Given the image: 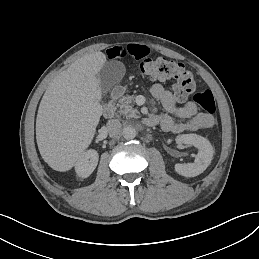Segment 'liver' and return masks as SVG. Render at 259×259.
Returning <instances> with one entry per match:
<instances>
[{"mask_svg":"<svg viewBox=\"0 0 259 259\" xmlns=\"http://www.w3.org/2000/svg\"><path fill=\"white\" fill-rule=\"evenodd\" d=\"M104 52L84 54L50 82L36 117V141L42 159L58 172L70 171L91 145L103 108L95 75Z\"/></svg>","mask_w":259,"mask_h":259,"instance_id":"obj_1","label":"liver"}]
</instances>
